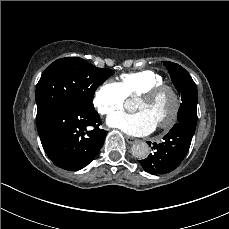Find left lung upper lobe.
Segmentation results:
<instances>
[{"instance_id": "1", "label": "left lung upper lobe", "mask_w": 229, "mask_h": 229, "mask_svg": "<svg viewBox=\"0 0 229 229\" xmlns=\"http://www.w3.org/2000/svg\"><path fill=\"white\" fill-rule=\"evenodd\" d=\"M164 66L168 69L172 82L182 98L178 111V123L183 124L187 117L186 111L189 110L191 102L196 104L198 101L197 86L189 73L180 65L166 61Z\"/></svg>"}]
</instances>
